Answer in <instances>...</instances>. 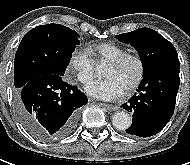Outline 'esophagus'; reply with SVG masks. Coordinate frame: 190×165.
I'll return each instance as SVG.
<instances>
[{"instance_id": "obj_1", "label": "esophagus", "mask_w": 190, "mask_h": 165, "mask_svg": "<svg viewBox=\"0 0 190 165\" xmlns=\"http://www.w3.org/2000/svg\"><path fill=\"white\" fill-rule=\"evenodd\" d=\"M99 105H100V106H102V107L107 108V109H108V110H110V111H115V110H117V109H118V107H117V106L112 105V104H107V103H99Z\"/></svg>"}]
</instances>
